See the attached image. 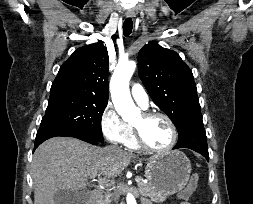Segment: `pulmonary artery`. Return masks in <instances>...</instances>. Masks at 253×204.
Listing matches in <instances>:
<instances>
[{
  "label": "pulmonary artery",
  "instance_id": "1",
  "mask_svg": "<svg viewBox=\"0 0 253 204\" xmlns=\"http://www.w3.org/2000/svg\"><path fill=\"white\" fill-rule=\"evenodd\" d=\"M131 95L134 101L141 106L143 109H146L149 104V96L145 89L140 84H134L131 87Z\"/></svg>",
  "mask_w": 253,
  "mask_h": 204
}]
</instances>
